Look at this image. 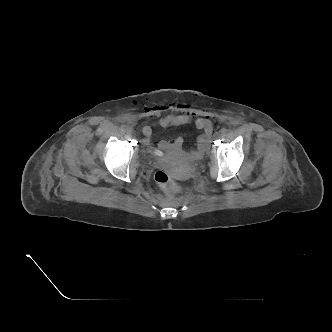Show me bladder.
Here are the masks:
<instances>
[{"label": "bladder", "mask_w": 332, "mask_h": 332, "mask_svg": "<svg viewBox=\"0 0 332 332\" xmlns=\"http://www.w3.org/2000/svg\"><path fill=\"white\" fill-rule=\"evenodd\" d=\"M200 155H201V152H197V153L191 154V158L192 159L198 158Z\"/></svg>", "instance_id": "31cf9c89"}]
</instances>
